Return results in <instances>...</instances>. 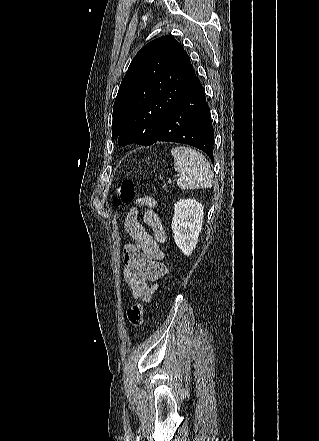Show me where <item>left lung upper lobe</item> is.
Wrapping results in <instances>:
<instances>
[{"mask_svg": "<svg viewBox=\"0 0 319 441\" xmlns=\"http://www.w3.org/2000/svg\"><path fill=\"white\" fill-rule=\"evenodd\" d=\"M194 76L190 57L173 36L145 45L133 58L115 99L112 139L120 136L128 144L150 145Z\"/></svg>", "mask_w": 319, "mask_h": 441, "instance_id": "1", "label": "left lung upper lobe"}]
</instances>
